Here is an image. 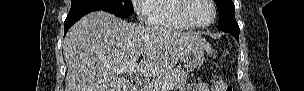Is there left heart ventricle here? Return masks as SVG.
Masks as SVG:
<instances>
[{
    "label": "left heart ventricle",
    "instance_id": "b2bd125f",
    "mask_svg": "<svg viewBox=\"0 0 304 91\" xmlns=\"http://www.w3.org/2000/svg\"><path fill=\"white\" fill-rule=\"evenodd\" d=\"M189 14L194 22L207 24L212 19L213 11L206 0H193Z\"/></svg>",
    "mask_w": 304,
    "mask_h": 91
}]
</instances>
